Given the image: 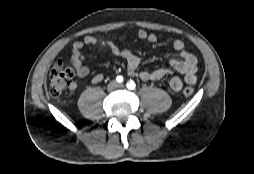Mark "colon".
Listing matches in <instances>:
<instances>
[{
	"label": "colon",
	"instance_id": "1",
	"mask_svg": "<svg viewBox=\"0 0 254 174\" xmlns=\"http://www.w3.org/2000/svg\"><path fill=\"white\" fill-rule=\"evenodd\" d=\"M73 77L74 70L65 65L63 60H58L50 72V93L54 96L63 93L70 86ZM193 92L194 90L191 87H185L182 91L183 95L186 97L191 96Z\"/></svg>",
	"mask_w": 254,
	"mask_h": 174
}]
</instances>
